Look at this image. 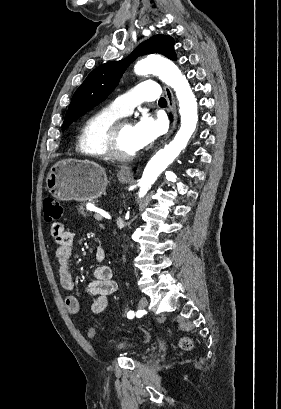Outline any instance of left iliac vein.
<instances>
[{"mask_svg": "<svg viewBox=\"0 0 281 409\" xmlns=\"http://www.w3.org/2000/svg\"><path fill=\"white\" fill-rule=\"evenodd\" d=\"M148 306V300L146 298H141L138 304L139 309H144Z\"/></svg>", "mask_w": 281, "mask_h": 409, "instance_id": "obj_1", "label": "left iliac vein"}]
</instances>
